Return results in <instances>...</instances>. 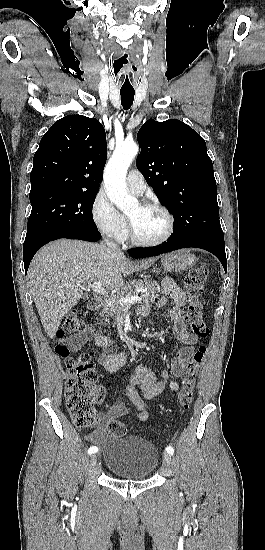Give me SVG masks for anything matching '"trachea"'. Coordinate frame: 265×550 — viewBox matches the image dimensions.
<instances>
[{"label": "trachea", "instance_id": "trachea-1", "mask_svg": "<svg viewBox=\"0 0 265 550\" xmlns=\"http://www.w3.org/2000/svg\"><path fill=\"white\" fill-rule=\"evenodd\" d=\"M134 92L132 91H121V104L125 110H128L133 104Z\"/></svg>", "mask_w": 265, "mask_h": 550}]
</instances>
